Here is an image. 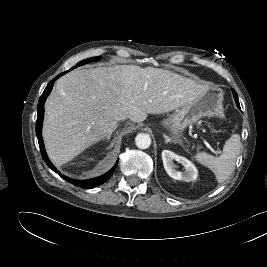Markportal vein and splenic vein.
Returning <instances> with one entry per match:
<instances>
[{"label": "portal vein and splenic vein", "instance_id": "obj_1", "mask_svg": "<svg viewBox=\"0 0 267 267\" xmlns=\"http://www.w3.org/2000/svg\"><path fill=\"white\" fill-rule=\"evenodd\" d=\"M208 148L212 150V148L210 147V145H208Z\"/></svg>", "mask_w": 267, "mask_h": 267}]
</instances>
